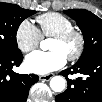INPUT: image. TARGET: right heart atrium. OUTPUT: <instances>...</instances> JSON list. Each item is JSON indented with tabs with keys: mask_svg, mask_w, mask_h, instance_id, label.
I'll return each instance as SVG.
<instances>
[{
	"mask_svg": "<svg viewBox=\"0 0 102 102\" xmlns=\"http://www.w3.org/2000/svg\"><path fill=\"white\" fill-rule=\"evenodd\" d=\"M41 33L30 19L22 20L15 30V41L22 52L35 49L41 41Z\"/></svg>",
	"mask_w": 102,
	"mask_h": 102,
	"instance_id": "1",
	"label": "right heart atrium"
}]
</instances>
